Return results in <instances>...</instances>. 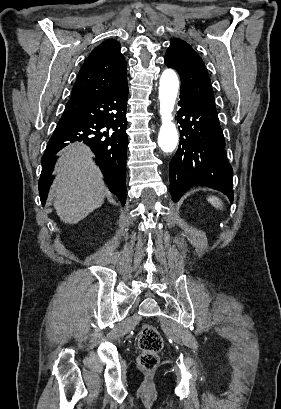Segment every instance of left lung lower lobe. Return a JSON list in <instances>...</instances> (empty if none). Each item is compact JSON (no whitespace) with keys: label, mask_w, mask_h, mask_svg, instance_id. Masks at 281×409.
I'll list each match as a JSON object with an SVG mask.
<instances>
[{"label":"left lung lower lobe","mask_w":281,"mask_h":409,"mask_svg":"<svg viewBox=\"0 0 281 409\" xmlns=\"http://www.w3.org/2000/svg\"><path fill=\"white\" fill-rule=\"evenodd\" d=\"M180 143L169 165L173 201L192 186H208L233 202V170L225 155V140L216 108L180 91ZM179 127V128H180Z\"/></svg>","instance_id":"1"}]
</instances>
